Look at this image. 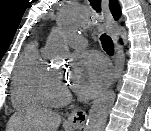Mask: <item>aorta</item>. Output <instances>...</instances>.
<instances>
[{"instance_id": "1", "label": "aorta", "mask_w": 151, "mask_h": 131, "mask_svg": "<svg viewBox=\"0 0 151 131\" xmlns=\"http://www.w3.org/2000/svg\"><path fill=\"white\" fill-rule=\"evenodd\" d=\"M60 21L63 26L78 30L83 26L76 11L72 7H65L60 14ZM46 56L52 60H61L68 56V51L62 38L53 35L46 45ZM116 95L113 91H107L100 95L91 106L87 117L84 131H104L108 114L115 102Z\"/></svg>"}]
</instances>
